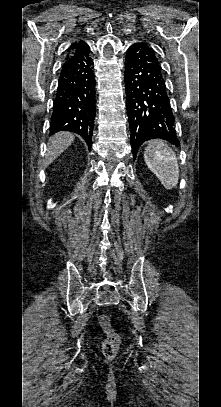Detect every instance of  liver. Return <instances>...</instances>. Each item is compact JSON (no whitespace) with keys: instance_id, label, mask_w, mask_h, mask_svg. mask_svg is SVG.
I'll use <instances>...</instances> for the list:
<instances>
[{"instance_id":"obj_1","label":"liver","mask_w":221,"mask_h":407,"mask_svg":"<svg viewBox=\"0 0 221 407\" xmlns=\"http://www.w3.org/2000/svg\"><path fill=\"white\" fill-rule=\"evenodd\" d=\"M74 134L62 131L54 134L48 141V150L45 155L44 166L50 165L58 158L74 141Z\"/></svg>"}]
</instances>
